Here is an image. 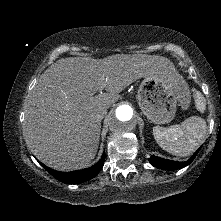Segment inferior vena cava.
Here are the masks:
<instances>
[{"label": "inferior vena cava", "mask_w": 221, "mask_h": 221, "mask_svg": "<svg viewBox=\"0 0 221 221\" xmlns=\"http://www.w3.org/2000/svg\"><path fill=\"white\" fill-rule=\"evenodd\" d=\"M106 111H107L106 109H102L101 111H99L96 115V118L98 120H102L106 114Z\"/></svg>", "instance_id": "inferior-vena-cava-1"}]
</instances>
